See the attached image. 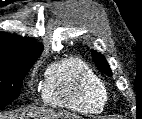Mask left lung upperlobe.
<instances>
[{
  "label": "left lung upper lobe",
  "mask_w": 142,
  "mask_h": 119,
  "mask_svg": "<svg viewBox=\"0 0 142 119\" xmlns=\"http://www.w3.org/2000/svg\"><path fill=\"white\" fill-rule=\"evenodd\" d=\"M92 58L96 64V66L102 71L104 72L106 75L108 76H112V71L109 68V65L106 61V59L97 51L92 50Z\"/></svg>",
  "instance_id": "1"
}]
</instances>
